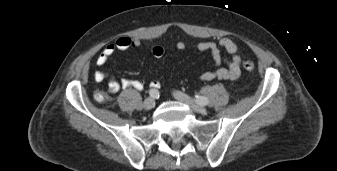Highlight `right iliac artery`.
Wrapping results in <instances>:
<instances>
[{
  "mask_svg": "<svg viewBox=\"0 0 337 171\" xmlns=\"http://www.w3.org/2000/svg\"><path fill=\"white\" fill-rule=\"evenodd\" d=\"M149 94H150V96H151L152 98H155V99H158L159 96H160L159 91L156 90V89H151V90L149 91Z\"/></svg>",
  "mask_w": 337,
  "mask_h": 171,
  "instance_id": "obj_1",
  "label": "right iliac artery"
}]
</instances>
